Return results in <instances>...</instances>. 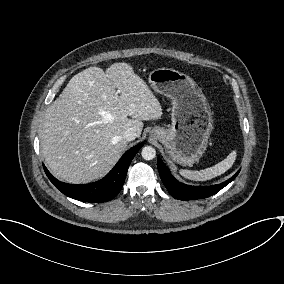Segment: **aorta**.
<instances>
[{
    "label": "aorta",
    "instance_id": "762f6f07",
    "mask_svg": "<svg viewBox=\"0 0 284 284\" xmlns=\"http://www.w3.org/2000/svg\"><path fill=\"white\" fill-rule=\"evenodd\" d=\"M141 155L145 160H152L156 156V150L152 146H145L142 149Z\"/></svg>",
    "mask_w": 284,
    "mask_h": 284
}]
</instances>
